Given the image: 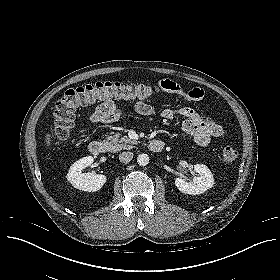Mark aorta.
Wrapping results in <instances>:
<instances>
[{"label": "aorta", "mask_w": 280, "mask_h": 280, "mask_svg": "<svg viewBox=\"0 0 280 280\" xmlns=\"http://www.w3.org/2000/svg\"><path fill=\"white\" fill-rule=\"evenodd\" d=\"M137 163L140 166H146L149 163V156L147 154H139L137 157Z\"/></svg>", "instance_id": "obj_1"}]
</instances>
